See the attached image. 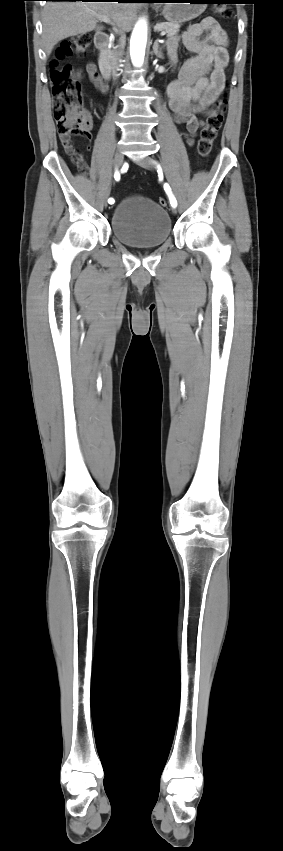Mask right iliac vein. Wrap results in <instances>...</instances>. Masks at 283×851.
Segmentation results:
<instances>
[{"mask_svg":"<svg viewBox=\"0 0 283 851\" xmlns=\"http://www.w3.org/2000/svg\"><path fill=\"white\" fill-rule=\"evenodd\" d=\"M123 158L124 157H123L122 152L120 150H117L116 153H115V159H114L115 169H118V168L121 167V165L123 163ZM109 195H110V189L108 188L105 192V195H104L105 206H107V201H108Z\"/></svg>","mask_w":283,"mask_h":851,"instance_id":"63e3f726","label":"right iliac vein"}]
</instances>
